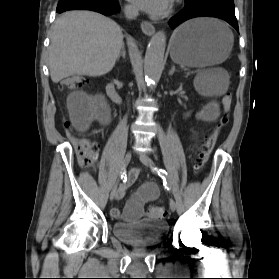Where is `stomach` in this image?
<instances>
[{
	"mask_svg": "<svg viewBox=\"0 0 279 279\" xmlns=\"http://www.w3.org/2000/svg\"><path fill=\"white\" fill-rule=\"evenodd\" d=\"M233 36L226 33L219 21L194 19L176 29L171 37V59L187 67H207L227 59Z\"/></svg>",
	"mask_w": 279,
	"mask_h": 279,
	"instance_id": "obj_1",
	"label": "stomach"
}]
</instances>
